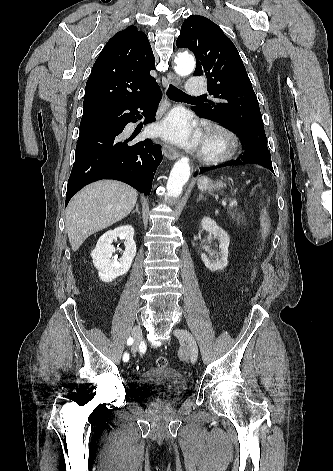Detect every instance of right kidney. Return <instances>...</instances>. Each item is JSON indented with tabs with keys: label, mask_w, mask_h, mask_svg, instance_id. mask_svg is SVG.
Returning a JSON list of instances; mask_svg holds the SVG:
<instances>
[{
	"label": "right kidney",
	"mask_w": 333,
	"mask_h": 471,
	"mask_svg": "<svg viewBox=\"0 0 333 471\" xmlns=\"http://www.w3.org/2000/svg\"><path fill=\"white\" fill-rule=\"evenodd\" d=\"M134 228L130 225L120 226L103 234L92 251L93 264L103 282H112L127 273L136 255V244L133 239ZM117 238L125 240V251L121 258L113 256L116 249L112 245Z\"/></svg>",
	"instance_id": "ca27d5eb"
}]
</instances>
